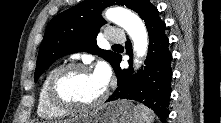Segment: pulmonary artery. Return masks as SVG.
Here are the masks:
<instances>
[{
    "label": "pulmonary artery",
    "mask_w": 221,
    "mask_h": 123,
    "mask_svg": "<svg viewBox=\"0 0 221 123\" xmlns=\"http://www.w3.org/2000/svg\"><path fill=\"white\" fill-rule=\"evenodd\" d=\"M107 39L113 43H121L125 40V34L121 29H111L106 35Z\"/></svg>",
    "instance_id": "e3ab8cb5"
}]
</instances>
